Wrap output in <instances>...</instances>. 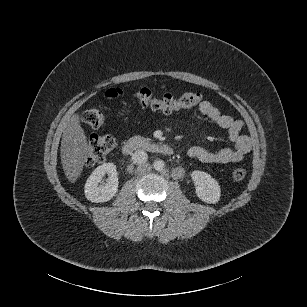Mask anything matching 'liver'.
Listing matches in <instances>:
<instances>
[{"label": "liver", "mask_w": 307, "mask_h": 307, "mask_svg": "<svg viewBox=\"0 0 307 307\" xmlns=\"http://www.w3.org/2000/svg\"><path fill=\"white\" fill-rule=\"evenodd\" d=\"M63 135L61 140V163L67 179L75 183L80 176L88 156L92 153L90 143L79 123V115L75 114L62 120Z\"/></svg>", "instance_id": "1"}]
</instances>
